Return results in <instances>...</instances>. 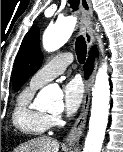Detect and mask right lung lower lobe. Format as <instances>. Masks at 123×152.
I'll return each mask as SVG.
<instances>
[{"label":"right lung lower lobe","instance_id":"obj_1","mask_svg":"<svg viewBox=\"0 0 123 152\" xmlns=\"http://www.w3.org/2000/svg\"><path fill=\"white\" fill-rule=\"evenodd\" d=\"M91 71H92V59H89L87 63L84 65V72L86 78L88 77Z\"/></svg>","mask_w":123,"mask_h":152}]
</instances>
